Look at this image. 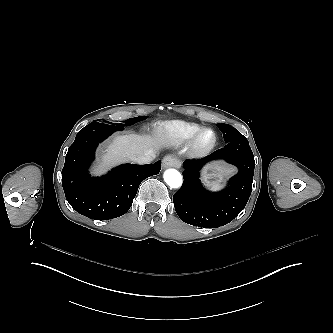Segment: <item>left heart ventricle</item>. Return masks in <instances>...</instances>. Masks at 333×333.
<instances>
[{
  "instance_id": "1",
  "label": "left heart ventricle",
  "mask_w": 333,
  "mask_h": 333,
  "mask_svg": "<svg viewBox=\"0 0 333 333\" xmlns=\"http://www.w3.org/2000/svg\"><path fill=\"white\" fill-rule=\"evenodd\" d=\"M212 133L211 132H205L202 136H201V139H200V143L202 145H207L209 144L211 141H212Z\"/></svg>"
}]
</instances>
